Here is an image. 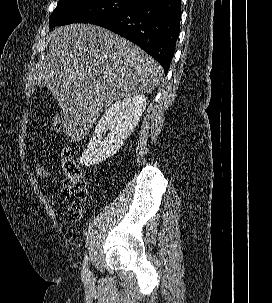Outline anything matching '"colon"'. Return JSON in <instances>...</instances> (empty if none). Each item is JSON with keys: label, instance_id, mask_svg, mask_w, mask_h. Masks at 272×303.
Segmentation results:
<instances>
[{"label": "colon", "instance_id": "colon-1", "mask_svg": "<svg viewBox=\"0 0 272 303\" xmlns=\"http://www.w3.org/2000/svg\"><path fill=\"white\" fill-rule=\"evenodd\" d=\"M51 130L53 133L62 131L61 118L56 116L52 120ZM62 169L65 174L63 185V196L69 216L72 219H79L83 213L86 199L87 189L84 184L82 171L75 161L71 149L64 147L61 151ZM33 172L38 179H48L50 177V169L42 160H36L33 163Z\"/></svg>", "mask_w": 272, "mask_h": 303}]
</instances>
